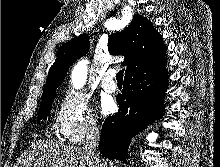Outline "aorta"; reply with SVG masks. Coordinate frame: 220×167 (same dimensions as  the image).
Wrapping results in <instances>:
<instances>
[{"instance_id": "obj_1", "label": "aorta", "mask_w": 220, "mask_h": 167, "mask_svg": "<svg viewBox=\"0 0 220 167\" xmlns=\"http://www.w3.org/2000/svg\"><path fill=\"white\" fill-rule=\"evenodd\" d=\"M87 78V61L78 63L72 71V83L75 88H80L84 85Z\"/></svg>"}]
</instances>
